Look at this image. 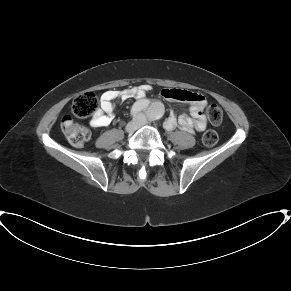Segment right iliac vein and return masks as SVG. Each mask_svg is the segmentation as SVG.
Returning a JSON list of instances; mask_svg holds the SVG:
<instances>
[{
	"label": "right iliac vein",
	"mask_w": 291,
	"mask_h": 291,
	"mask_svg": "<svg viewBox=\"0 0 291 291\" xmlns=\"http://www.w3.org/2000/svg\"><path fill=\"white\" fill-rule=\"evenodd\" d=\"M139 128V120L138 119H133L132 121H130L125 130L129 133H133L135 132L137 129Z\"/></svg>",
	"instance_id": "1"
}]
</instances>
